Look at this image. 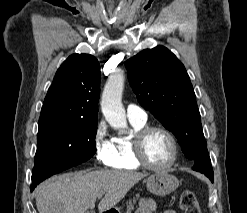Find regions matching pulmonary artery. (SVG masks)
Returning <instances> with one entry per match:
<instances>
[{
	"label": "pulmonary artery",
	"mask_w": 247,
	"mask_h": 213,
	"mask_svg": "<svg viewBox=\"0 0 247 213\" xmlns=\"http://www.w3.org/2000/svg\"><path fill=\"white\" fill-rule=\"evenodd\" d=\"M127 117L130 121L146 122L147 113L137 105L130 104L126 109Z\"/></svg>",
	"instance_id": "1"
}]
</instances>
